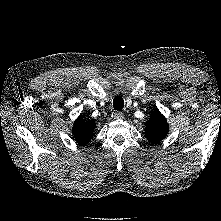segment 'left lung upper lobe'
<instances>
[{
    "label": "left lung upper lobe",
    "instance_id": "obj_1",
    "mask_svg": "<svg viewBox=\"0 0 221 221\" xmlns=\"http://www.w3.org/2000/svg\"><path fill=\"white\" fill-rule=\"evenodd\" d=\"M169 130V125L165 117L158 111L154 110L145 127V137L152 143L160 142L165 138Z\"/></svg>",
    "mask_w": 221,
    "mask_h": 221
}]
</instances>
